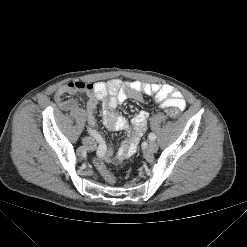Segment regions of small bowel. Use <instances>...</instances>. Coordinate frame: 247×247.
<instances>
[{
    "label": "small bowel",
    "instance_id": "1",
    "mask_svg": "<svg viewBox=\"0 0 247 247\" xmlns=\"http://www.w3.org/2000/svg\"><path fill=\"white\" fill-rule=\"evenodd\" d=\"M80 93L88 96L86 111L90 126H96L94 111L100 105L102 110L101 122L110 131L128 130L127 121L115 110L118 105L127 99L142 102L143 94H146L153 96L161 108L172 107L184 110L186 107V101L182 94L170 85L139 81L125 82L120 79L94 84L83 81L68 82L57 89L54 99L63 111L80 113V108L75 99H65L66 95ZM147 119L148 113L145 111H141L134 116L129 138L122 143L114 158L111 157V149H109L103 156L104 163L117 164L135 152L136 145L146 128Z\"/></svg>",
    "mask_w": 247,
    "mask_h": 247
}]
</instances>
